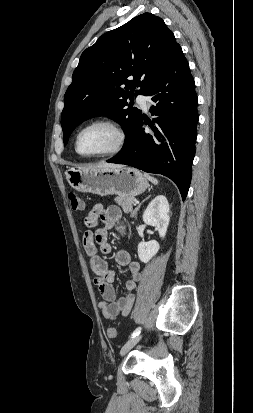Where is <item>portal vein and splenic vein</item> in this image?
Here are the masks:
<instances>
[{
  "instance_id": "1",
  "label": "portal vein and splenic vein",
  "mask_w": 253,
  "mask_h": 413,
  "mask_svg": "<svg viewBox=\"0 0 253 413\" xmlns=\"http://www.w3.org/2000/svg\"><path fill=\"white\" fill-rule=\"evenodd\" d=\"M134 202L137 204L138 203V201L136 200V199H134Z\"/></svg>"
}]
</instances>
